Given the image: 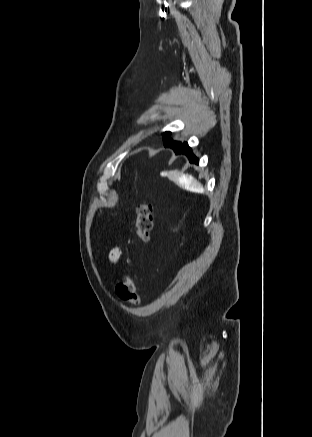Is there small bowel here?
Here are the masks:
<instances>
[{
    "instance_id": "1",
    "label": "small bowel",
    "mask_w": 312,
    "mask_h": 437,
    "mask_svg": "<svg viewBox=\"0 0 312 437\" xmlns=\"http://www.w3.org/2000/svg\"><path fill=\"white\" fill-rule=\"evenodd\" d=\"M123 256V251L120 247H114L109 253V259L112 263H117Z\"/></svg>"
}]
</instances>
